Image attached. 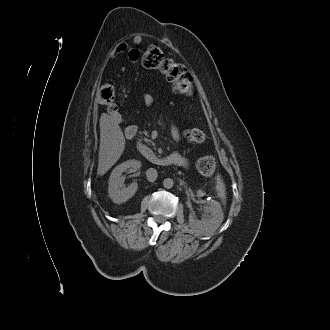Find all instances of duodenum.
<instances>
[{
  "mask_svg": "<svg viewBox=\"0 0 330 330\" xmlns=\"http://www.w3.org/2000/svg\"><path fill=\"white\" fill-rule=\"evenodd\" d=\"M136 133V129L132 131L130 128L126 129V137L128 139H133ZM139 152L141 155L150 163L156 164V165H168L170 162L168 161L167 157H160L155 152H153L149 147L140 144L139 147Z\"/></svg>",
  "mask_w": 330,
  "mask_h": 330,
  "instance_id": "duodenum-1",
  "label": "duodenum"
}]
</instances>
